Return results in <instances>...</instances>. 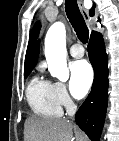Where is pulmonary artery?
<instances>
[{
    "mask_svg": "<svg viewBox=\"0 0 119 141\" xmlns=\"http://www.w3.org/2000/svg\"><path fill=\"white\" fill-rule=\"evenodd\" d=\"M69 52L71 56L75 58H81L84 56V49L80 44H74L70 47Z\"/></svg>",
    "mask_w": 119,
    "mask_h": 141,
    "instance_id": "obj_1",
    "label": "pulmonary artery"
}]
</instances>
